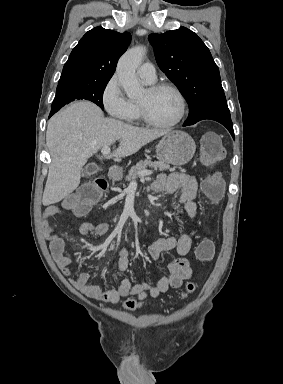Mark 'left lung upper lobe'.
Segmentation results:
<instances>
[{
    "label": "left lung upper lobe",
    "instance_id": "left-lung-upper-lobe-1",
    "mask_svg": "<svg viewBox=\"0 0 283 384\" xmlns=\"http://www.w3.org/2000/svg\"><path fill=\"white\" fill-rule=\"evenodd\" d=\"M149 40L160 69L176 84L189 104V116L184 124L230 117L218 66L194 32L180 27L163 34H151Z\"/></svg>",
    "mask_w": 283,
    "mask_h": 384
}]
</instances>
